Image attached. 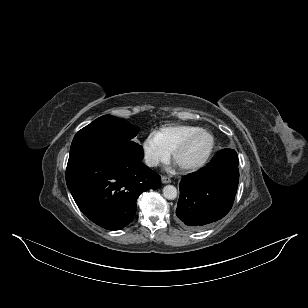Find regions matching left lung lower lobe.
<instances>
[{
  "label": "left lung lower lobe",
  "instance_id": "left-lung-lower-lobe-1",
  "mask_svg": "<svg viewBox=\"0 0 308 308\" xmlns=\"http://www.w3.org/2000/svg\"><path fill=\"white\" fill-rule=\"evenodd\" d=\"M239 181L235 150L219 151L200 171L180 183L177 221L189 230H201L223 218L231 209Z\"/></svg>",
  "mask_w": 308,
  "mask_h": 308
}]
</instances>
